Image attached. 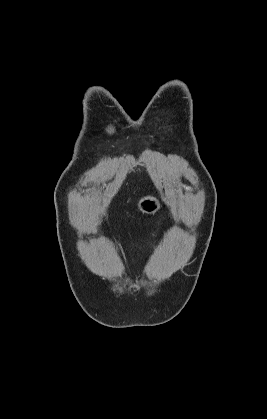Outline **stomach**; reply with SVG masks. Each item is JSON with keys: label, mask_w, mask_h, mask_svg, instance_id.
Returning <instances> with one entry per match:
<instances>
[{"label": "stomach", "mask_w": 267, "mask_h": 419, "mask_svg": "<svg viewBox=\"0 0 267 419\" xmlns=\"http://www.w3.org/2000/svg\"><path fill=\"white\" fill-rule=\"evenodd\" d=\"M137 207L142 213L155 214L160 210L161 204L156 197L145 196L138 201Z\"/></svg>", "instance_id": "1"}]
</instances>
